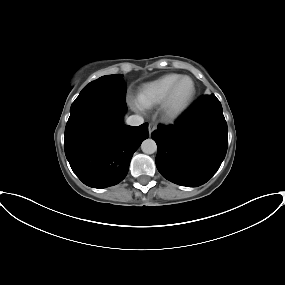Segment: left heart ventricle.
I'll use <instances>...</instances> for the list:
<instances>
[{
  "mask_svg": "<svg viewBox=\"0 0 285 285\" xmlns=\"http://www.w3.org/2000/svg\"><path fill=\"white\" fill-rule=\"evenodd\" d=\"M193 90V84L189 79L183 80L178 86L175 96H174V105L181 106L183 105L190 97Z\"/></svg>",
  "mask_w": 285,
  "mask_h": 285,
  "instance_id": "left-heart-ventricle-1",
  "label": "left heart ventricle"
}]
</instances>
